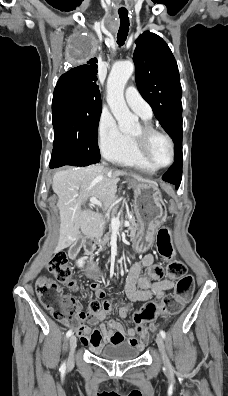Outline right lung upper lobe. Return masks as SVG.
Segmentation results:
<instances>
[{"label":"right lung upper lobe","mask_w":228,"mask_h":396,"mask_svg":"<svg viewBox=\"0 0 228 396\" xmlns=\"http://www.w3.org/2000/svg\"><path fill=\"white\" fill-rule=\"evenodd\" d=\"M97 58H91L84 65L72 68L58 80L55 88L67 89L75 92L79 97L101 101L97 81Z\"/></svg>","instance_id":"right-lung-upper-lobe-1"}]
</instances>
